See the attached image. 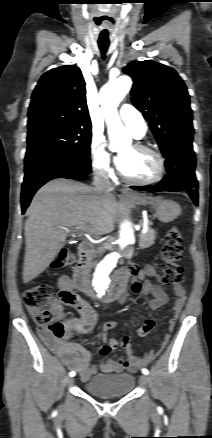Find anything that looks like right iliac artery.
<instances>
[{"label":"right iliac artery","instance_id":"right-iliac-artery-1","mask_svg":"<svg viewBox=\"0 0 212 438\" xmlns=\"http://www.w3.org/2000/svg\"><path fill=\"white\" fill-rule=\"evenodd\" d=\"M76 375V372L75 371H71L70 373H69V376L70 377H73V376H75Z\"/></svg>","mask_w":212,"mask_h":438}]
</instances>
